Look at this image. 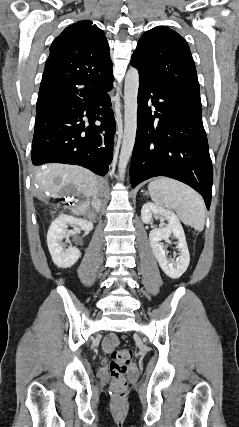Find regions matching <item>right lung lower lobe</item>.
I'll list each match as a JSON object with an SVG mask.
<instances>
[{
    "instance_id": "98d812e1",
    "label": "right lung lower lobe",
    "mask_w": 239,
    "mask_h": 427,
    "mask_svg": "<svg viewBox=\"0 0 239 427\" xmlns=\"http://www.w3.org/2000/svg\"><path fill=\"white\" fill-rule=\"evenodd\" d=\"M113 75L93 86H68L38 98L31 159L77 164L104 176L113 157Z\"/></svg>"
}]
</instances>
